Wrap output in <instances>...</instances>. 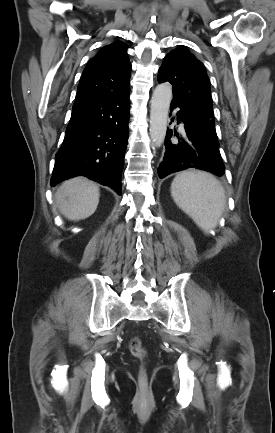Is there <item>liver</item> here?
Instances as JSON below:
<instances>
[{
    "label": "liver",
    "instance_id": "obj_1",
    "mask_svg": "<svg viewBox=\"0 0 275 433\" xmlns=\"http://www.w3.org/2000/svg\"><path fill=\"white\" fill-rule=\"evenodd\" d=\"M99 196V188L95 183L83 177H75L62 183L55 194V202L63 216L79 221L96 211Z\"/></svg>",
    "mask_w": 275,
    "mask_h": 433
}]
</instances>
